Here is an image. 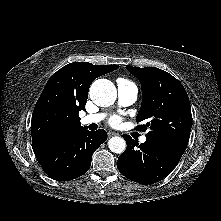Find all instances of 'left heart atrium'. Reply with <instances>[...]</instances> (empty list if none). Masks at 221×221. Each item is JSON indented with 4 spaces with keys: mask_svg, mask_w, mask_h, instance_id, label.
<instances>
[{
    "mask_svg": "<svg viewBox=\"0 0 221 221\" xmlns=\"http://www.w3.org/2000/svg\"><path fill=\"white\" fill-rule=\"evenodd\" d=\"M121 123V118L119 116H113L109 120V124L113 127L119 126Z\"/></svg>",
    "mask_w": 221,
    "mask_h": 221,
    "instance_id": "39dd6f15",
    "label": "left heart atrium"
}]
</instances>
